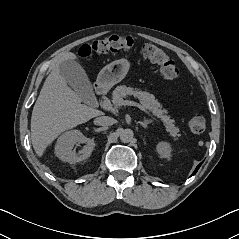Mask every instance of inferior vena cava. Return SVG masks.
Segmentation results:
<instances>
[{
	"label": "inferior vena cava",
	"instance_id": "602c4592",
	"mask_svg": "<svg viewBox=\"0 0 239 239\" xmlns=\"http://www.w3.org/2000/svg\"><path fill=\"white\" fill-rule=\"evenodd\" d=\"M95 123L100 126H111L115 123V119L109 116H100L95 119Z\"/></svg>",
	"mask_w": 239,
	"mask_h": 239
}]
</instances>
